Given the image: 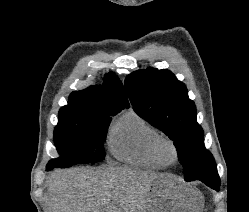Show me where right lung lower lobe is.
I'll use <instances>...</instances> for the list:
<instances>
[{
  "label": "right lung lower lobe",
  "instance_id": "98d812e1",
  "mask_svg": "<svg viewBox=\"0 0 249 212\" xmlns=\"http://www.w3.org/2000/svg\"><path fill=\"white\" fill-rule=\"evenodd\" d=\"M47 168V170H51V169H53V168H51V167H46Z\"/></svg>",
  "mask_w": 249,
  "mask_h": 212
}]
</instances>
